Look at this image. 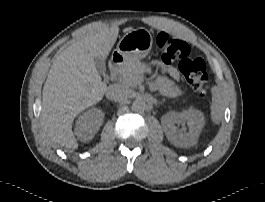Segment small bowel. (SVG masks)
Instances as JSON below:
<instances>
[{
    "label": "small bowel",
    "instance_id": "obj_1",
    "mask_svg": "<svg viewBox=\"0 0 265 202\" xmlns=\"http://www.w3.org/2000/svg\"><path fill=\"white\" fill-rule=\"evenodd\" d=\"M163 71L174 80H177L180 77L179 71L173 66L166 67Z\"/></svg>",
    "mask_w": 265,
    "mask_h": 202
}]
</instances>
